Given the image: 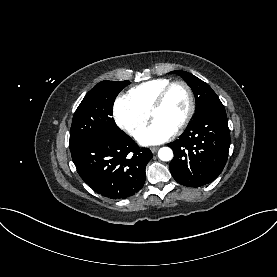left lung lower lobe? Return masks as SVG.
I'll use <instances>...</instances> for the list:
<instances>
[{"mask_svg":"<svg viewBox=\"0 0 277 277\" xmlns=\"http://www.w3.org/2000/svg\"><path fill=\"white\" fill-rule=\"evenodd\" d=\"M169 164L173 178L188 187H200L222 172L230 147V132L222 103L201 113L176 141Z\"/></svg>","mask_w":277,"mask_h":277,"instance_id":"1","label":"left lung lower lobe"}]
</instances>
